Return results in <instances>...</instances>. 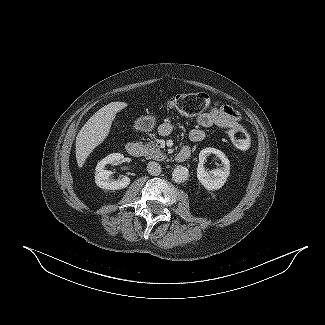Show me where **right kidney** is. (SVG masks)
I'll return each mask as SVG.
<instances>
[{"label": "right kidney", "mask_w": 325, "mask_h": 325, "mask_svg": "<svg viewBox=\"0 0 325 325\" xmlns=\"http://www.w3.org/2000/svg\"><path fill=\"white\" fill-rule=\"evenodd\" d=\"M123 159V154L112 153L103 158L100 162H98L95 172V182L100 188L107 190H119L126 188L130 184V178L127 176H123L121 179L118 180H111L109 177L111 176L112 172L110 170L105 169V166L107 164L120 162Z\"/></svg>", "instance_id": "ca27d5eb"}]
</instances>
